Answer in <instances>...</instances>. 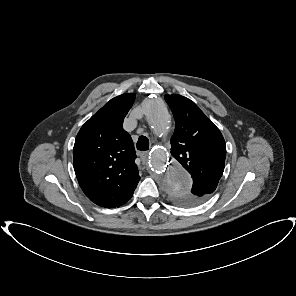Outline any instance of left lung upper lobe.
Here are the masks:
<instances>
[{
    "label": "left lung upper lobe",
    "instance_id": "obj_1",
    "mask_svg": "<svg viewBox=\"0 0 296 296\" xmlns=\"http://www.w3.org/2000/svg\"><path fill=\"white\" fill-rule=\"evenodd\" d=\"M175 119L171 137L172 156L191 174L192 189L173 191L171 199L190 207L206 201L223 174L226 144L219 129L190 99L165 95Z\"/></svg>",
    "mask_w": 296,
    "mask_h": 296
}]
</instances>
